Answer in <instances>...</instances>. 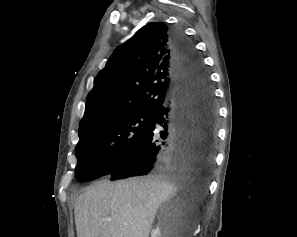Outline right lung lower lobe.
<instances>
[{"label": "right lung lower lobe", "instance_id": "obj_1", "mask_svg": "<svg viewBox=\"0 0 297 237\" xmlns=\"http://www.w3.org/2000/svg\"><path fill=\"white\" fill-rule=\"evenodd\" d=\"M171 46L178 89L154 111L146 136L113 165L107 174L112 181L153 173L208 174L213 166L216 108L208 75L182 31L171 30Z\"/></svg>", "mask_w": 297, "mask_h": 237}]
</instances>
